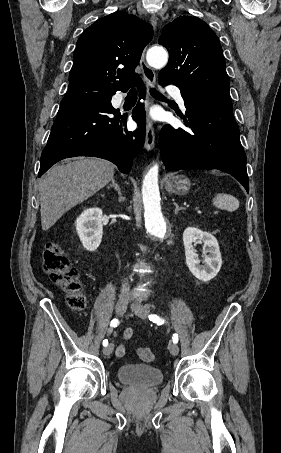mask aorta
<instances>
[{
    "label": "aorta",
    "mask_w": 281,
    "mask_h": 453,
    "mask_svg": "<svg viewBox=\"0 0 281 453\" xmlns=\"http://www.w3.org/2000/svg\"><path fill=\"white\" fill-rule=\"evenodd\" d=\"M146 59L151 67L162 69L168 62V53L163 47H152L148 50ZM158 172L157 164L147 171L143 179L142 196L145 228L150 235L163 239L168 228L161 212Z\"/></svg>",
    "instance_id": "obj_1"
}]
</instances>
